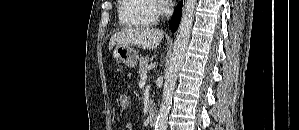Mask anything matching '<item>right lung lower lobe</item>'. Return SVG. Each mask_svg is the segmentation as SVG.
I'll return each instance as SVG.
<instances>
[{
    "mask_svg": "<svg viewBox=\"0 0 299 130\" xmlns=\"http://www.w3.org/2000/svg\"><path fill=\"white\" fill-rule=\"evenodd\" d=\"M183 1L181 0L177 7L175 8V12L170 21V29L175 32L178 28L180 19H181V12H182Z\"/></svg>",
    "mask_w": 299,
    "mask_h": 130,
    "instance_id": "98d812e1",
    "label": "right lung lower lobe"
}]
</instances>
